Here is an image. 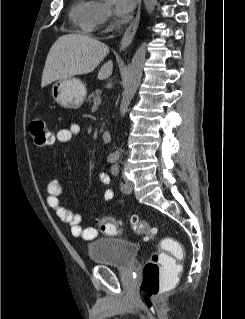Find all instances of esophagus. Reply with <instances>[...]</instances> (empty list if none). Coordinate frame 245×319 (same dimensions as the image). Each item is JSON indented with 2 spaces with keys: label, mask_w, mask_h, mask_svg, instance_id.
I'll return each mask as SVG.
<instances>
[{
  "label": "esophagus",
  "mask_w": 245,
  "mask_h": 319,
  "mask_svg": "<svg viewBox=\"0 0 245 319\" xmlns=\"http://www.w3.org/2000/svg\"><path fill=\"white\" fill-rule=\"evenodd\" d=\"M140 9H141V0H139L138 10L136 16L130 26L126 29L123 38L120 42V50H125L132 42L136 31L138 29L139 21H140Z\"/></svg>",
  "instance_id": "esophagus-1"
}]
</instances>
